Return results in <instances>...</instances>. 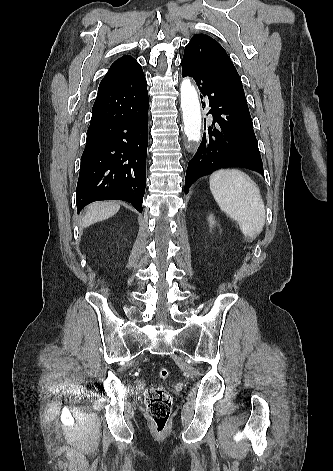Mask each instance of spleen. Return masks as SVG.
Returning <instances> with one entry per match:
<instances>
[{
	"label": "spleen",
	"mask_w": 333,
	"mask_h": 471,
	"mask_svg": "<svg viewBox=\"0 0 333 471\" xmlns=\"http://www.w3.org/2000/svg\"><path fill=\"white\" fill-rule=\"evenodd\" d=\"M211 193L220 209L238 222L245 237L254 239L265 224V207L259 187L243 171L221 169L209 180Z\"/></svg>",
	"instance_id": "spleen-1"
}]
</instances>
